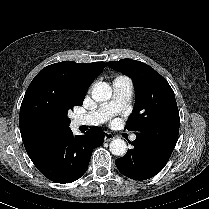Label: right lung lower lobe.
<instances>
[{"instance_id":"1","label":"right lung lower lobe","mask_w":209,"mask_h":209,"mask_svg":"<svg viewBox=\"0 0 209 209\" xmlns=\"http://www.w3.org/2000/svg\"><path fill=\"white\" fill-rule=\"evenodd\" d=\"M103 137L97 126L77 136H73L69 128L30 159L46 178L57 183H71L85 173L92 151L102 145Z\"/></svg>"}]
</instances>
